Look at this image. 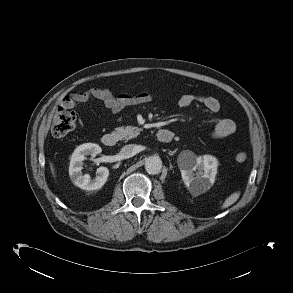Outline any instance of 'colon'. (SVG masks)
<instances>
[{"label":"colon","instance_id":"1","mask_svg":"<svg viewBox=\"0 0 293 293\" xmlns=\"http://www.w3.org/2000/svg\"><path fill=\"white\" fill-rule=\"evenodd\" d=\"M75 126V113L65 107H59L53 118L52 134L57 138H62L74 130ZM235 159L237 162H244L247 159V153L239 152L236 154Z\"/></svg>","mask_w":293,"mask_h":293}]
</instances>
